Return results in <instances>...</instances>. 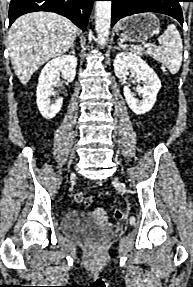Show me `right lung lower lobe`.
<instances>
[{
    "label": "right lung lower lobe",
    "mask_w": 193,
    "mask_h": 287,
    "mask_svg": "<svg viewBox=\"0 0 193 287\" xmlns=\"http://www.w3.org/2000/svg\"><path fill=\"white\" fill-rule=\"evenodd\" d=\"M94 1L96 0H11L9 26L23 14L47 11L67 17L84 31Z\"/></svg>",
    "instance_id": "obj_1"
}]
</instances>
